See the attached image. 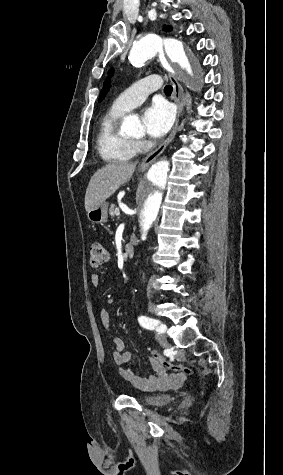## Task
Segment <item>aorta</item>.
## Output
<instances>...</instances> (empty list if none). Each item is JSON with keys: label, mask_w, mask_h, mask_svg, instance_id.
I'll return each instance as SVG.
<instances>
[{"label": "aorta", "mask_w": 283, "mask_h": 475, "mask_svg": "<svg viewBox=\"0 0 283 475\" xmlns=\"http://www.w3.org/2000/svg\"><path fill=\"white\" fill-rule=\"evenodd\" d=\"M165 49L170 60L177 64L187 75L194 76L191 62L184 52L183 45L176 39H163L156 34H149L136 42L130 51L132 65H143ZM141 123L136 116L124 117L121 130L132 135L140 132ZM175 167L171 160L162 159L153 164L139 181L134 196L133 219L142 239L157 225L166 196L169 193Z\"/></svg>", "instance_id": "aorta-1"}]
</instances>
